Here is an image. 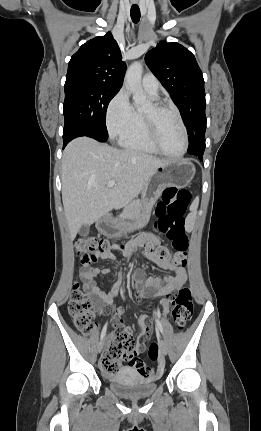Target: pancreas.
Masks as SVG:
<instances>
[{"label":"pancreas","instance_id":"1","mask_svg":"<svg viewBox=\"0 0 261 431\" xmlns=\"http://www.w3.org/2000/svg\"><path fill=\"white\" fill-rule=\"evenodd\" d=\"M142 202L140 200H133L125 206L123 212L120 214V220H136L141 216Z\"/></svg>","mask_w":261,"mask_h":431}]
</instances>
